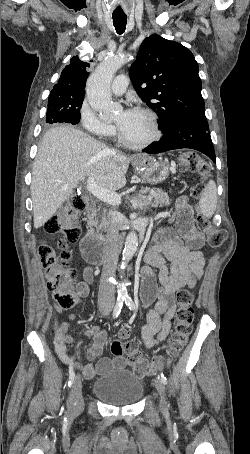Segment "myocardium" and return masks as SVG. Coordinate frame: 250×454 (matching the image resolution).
<instances>
[{"mask_svg":"<svg viewBox=\"0 0 250 454\" xmlns=\"http://www.w3.org/2000/svg\"><path fill=\"white\" fill-rule=\"evenodd\" d=\"M134 111L143 113L149 118L151 125H152V135L140 143L130 142L123 136L119 126H117V129H116L117 138L122 145H124L125 147H127L129 149L142 150V149H145V148L151 146L153 143H155L156 141H158L160 139V137H161L160 125H159V121H158V117H157L156 113L153 112L152 110H150L149 108L137 107Z\"/></svg>","mask_w":250,"mask_h":454,"instance_id":"myocardium-1","label":"myocardium"}]
</instances>
